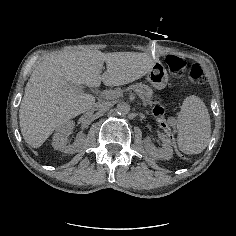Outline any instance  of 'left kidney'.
Here are the masks:
<instances>
[{
	"label": "left kidney",
	"instance_id": "left-kidney-1",
	"mask_svg": "<svg viewBox=\"0 0 236 236\" xmlns=\"http://www.w3.org/2000/svg\"><path fill=\"white\" fill-rule=\"evenodd\" d=\"M159 138L163 143V148H156L151 144L150 138L144 140V147L148 154H150L155 159L169 160L173 156V149L171 147L170 139L164 134L159 133Z\"/></svg>",
	"mask_w": 236,
	"mask_h": 236
}]
</instances>
